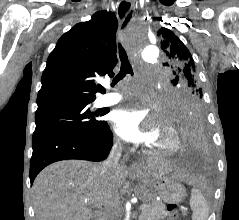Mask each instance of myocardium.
I'll use <instances>...</instances> for the list:
<instances>
[{
  "label": "myocardium",
  "mask_w": 239,
  "mask_h": 220,
  "mask_svg": "<svg viewBox=\"0 0 239 220\" xmlns=\"http://www.w3.org/2000/svg\"><path fill=\"white\" fill-rule=\"evenodd\" d=\"M163 128L169 137L168 143L164 146H153L148 144L146 147V152L148 154L155 156H168L176 154L181 149L182 142L178 130L171 124H166Z\"/></svg>",
  "instance_id": "1"
}]
</instances>
